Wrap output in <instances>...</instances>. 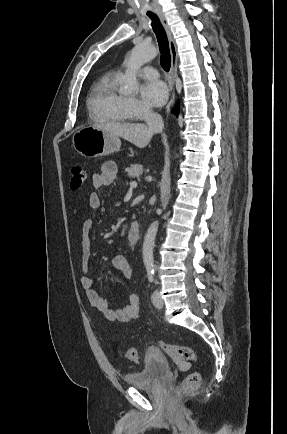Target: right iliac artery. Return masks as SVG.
<instances>
[{
  "label": "right iliac artery",
  "instance_id": "right-iliac-artery-1",
  "mask_svg": "<svg viewBox=\"0 0 287 434\" xmlns=\"http://www.w3.org/2000/svg\"><path fill=\"white\" fill-rule=\"evenodd\" d=\"M147 276H148V280L150 282H154L155 281V274H154V272H149Z\"/></svg>",
  "mask_w": 287,
  "mask_h": 434
}]
</instances>
